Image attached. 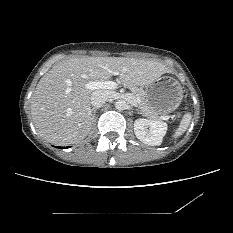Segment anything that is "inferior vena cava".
Wrapping results in <instances>:
<instances>
[{
    "label": "inferior vena cava",
    "instance_id": "602c4592",
    "mask_svg": "<svg viewBox=\"0 0 233 233\" xmlns=\"http://www.w3.org/2000/svg\"><path fill=\"white\" fill-rule=\"evenodd\" d=\"M110 97V92L107 90L94 91L91 96V105L95 108L101 107Z\"/></svg>",
    "mask_w": 233,
    "mask_h": 233
}]
</instances>
